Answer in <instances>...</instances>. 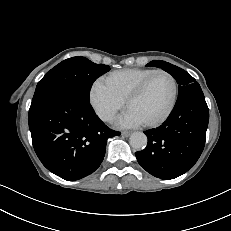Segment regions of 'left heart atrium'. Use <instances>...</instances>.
<instances>
[{"label":"left heart atrium","instance_id":"1","mask_svg":"<svg viewBox=\"0 0 231 231\" xmlns=\"http://www.w3.org/2000/svg\"><path fill=\"white\" fill-rule=\"evenodd\" d=\"M117 124L120 127L130 128V127H137L143 124V122L132 111L127 109L125 113L118 119Z\"/></svg>","mask_w":231,"mask_h":231}]
</instances>
